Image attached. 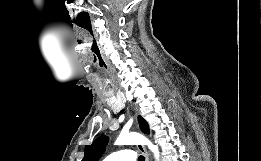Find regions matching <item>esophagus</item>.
<instances>
[{
  "label": "esophagus",
  "instance_id": "obj_1",
  "mask_svg": "<svg viewBox=\"0 0 261 161\" xmlns=\"http://www.w3.org/2000/svg\"><path fill=\"white\" fill-rule=\"evenodd\" d=\"M137 148H138V150L140 152L143 153V155L145 156L146 161H149V154H148L146 148L144 146H142V145L137 146Z\"/></svg>",
  "mask_w": 261,
  "mask_h": 161
}]
</instances>
